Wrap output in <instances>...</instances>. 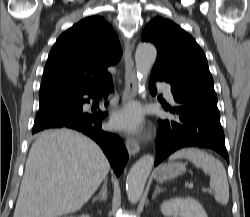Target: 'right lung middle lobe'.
Here are the masks:
<instances>
[{
	"label": "right lung middle lobe",
	"mask_w": 250,
	"mask_h": 217,
	"mask_svg": "<svg viewBox=\"0 0 250 217\" xmlns=\"http://www.w3.org/2000/svg\"><path fill=\"white\" fill-rule=\"evenodd\" d=\"M73 107L74 105L71 100H61L48 105L40 106L36 114L35 124L56 112L64 109H71Z\"/></svg>",
	"instance_id": "right-lung-middle-lobe-1"
}]
</instances>
